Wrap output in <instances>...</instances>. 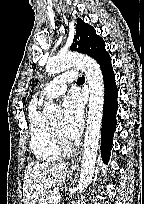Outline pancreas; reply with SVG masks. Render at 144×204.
Instances as JSON below:
<instances>
[{
	"instance_id": "obj_1",
	"label": "pancreas",
	"mask_w": 144,
	"mask_h": 204,
	"mask_svg": "<svg viewBox=\"0 0 144 204\" xmlns=\"http://www.w3.org/2000/svg\"><path fill=\"white\" fill-rule=\"evenodd\" d=\"M54 195H56L55 191L50 190V191L43 192L38 204H58V201H52V202L49 201V198Z\"/></svg>"
}]
</instances>
